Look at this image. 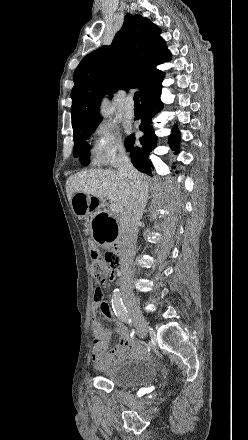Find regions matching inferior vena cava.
<instances>
[{"instance_id": "inferior-vena-cava-1", "label": "inferior vena cava", "mask_w": 248, "mask_h": 440, "mask_svg": "<svg viewBox=\"0 0 248 440\" xmlns=\"http://www.w3.org/2000/svg\"><path fill=\"white\" fill-rule=\"evenodd\" d=\"M118 173L128 177L134 184V194L125 207L120 218V232L122 237V251L120 266L122 271L121 284L131 276L130 264L135 254L138 223L142 218L148 200V184L143 175L137 171L125 153H121L117 162Z\"/></svg>"}]
</instances>
